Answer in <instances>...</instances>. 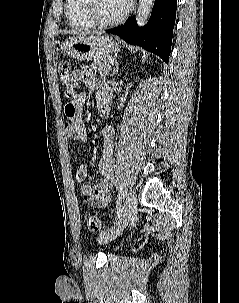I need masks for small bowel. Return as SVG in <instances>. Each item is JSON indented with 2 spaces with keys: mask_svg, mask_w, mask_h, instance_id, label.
<instances>
[{
  "mask_svg": "<svg viewBox=\"0 0 239 303\" xmlns=\"http://www.w3.org/2000/svg\"><path fill=\"white\" fill-rule=\"evenodd\" d=\"M81 80L88 89L96 91L98 107L109 108L111 102V91L108 84L104 80L96 78L92 71L87 67L81 69ZM85 101V94L81 93L64 107L65 116L68 120L66 134L77 142H85L88 138L86 125L82 116ZM114 141V129L112 127L104 128L102 158L98 164V171L102 176V179L98 183L94 185L85 183L89 171L86 164L77 163L75 166L76 180L82 184L81 192L84 200L96 207L106 206L111 198V189L114 183Z\"/></svg>",
  "mask_w": 239,
  "mask_h": 303,
  "instance_id": "c3829d8e",
  "label": "small bowel"
}]
</instances>
